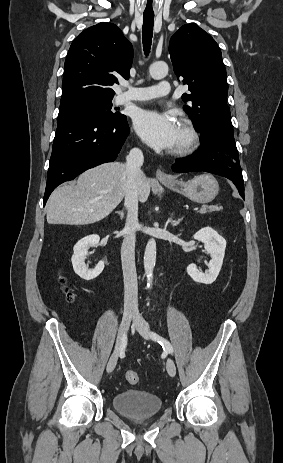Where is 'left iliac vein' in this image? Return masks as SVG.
<instances>
[{
  "mask_svg": "<svg viewBox=\"0 0 283 463\" xmlns=\"http://www.w3.org/2000/svg\"><path fill=\"white\" fill-rule=\"evenodd\" d=\"M133 323L138 330V332L141 334L142 337L145 339L149 338V324L143 319V317L139 314L136 313L134 316ZM166 369L168 374L171 377H174L176 374V366L175 363L172 359H168L166 363Z\"/></svg>",
  "mask_w": 283,
  "mask_h": 463,
  "instance_id": "left-iliac-vein-1",
  "label": "left iliac vein"
}]
</instances>
